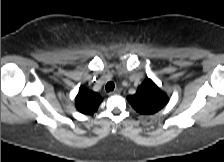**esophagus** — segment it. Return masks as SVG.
I'll list each match as a JSON object with an SVG mask.
<instances>
[{
  "label": "esophagus",
  "instance_id": "1",
  "mask_svg": "<svg viewBox=\"0 0 224 162\" xmlns=\"http://www.w3.org/2000/svg\"><path fill=\"white\" fill-rule=\"evenodd\" d=\"M120 89H115L114 91H111L108 93V95H116V94H120Z\"/></svg>",
  "mask_w": 224,
  "mask_h": 162
}]
</instances>
